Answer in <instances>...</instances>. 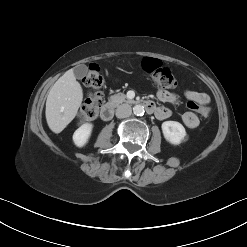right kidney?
<instances>
[{
	"label": "right kidney",
	"mask_w": 247,
	"mask_h": 247,
	"mask_svg": "<svg viewBox=\"0 0 247 247\" xmlns=\"http://www.w3.org/2000/svg\"><path fill=\"white\" fill-rule=\"evenodd\" d=\"M93 125L91 123H86L80 126L73 134V142L77 147H83L87 144L91 133Z\"/></svg>",
	"instance_id": "1"
}]
</instances>
